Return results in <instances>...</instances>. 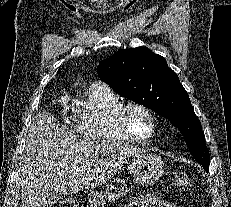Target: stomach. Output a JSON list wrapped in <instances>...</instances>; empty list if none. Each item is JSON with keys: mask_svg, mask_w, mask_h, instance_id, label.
<instances>
[{"mask_svg": "<svg viewBox=\"0 0 231 207\" xmlns=\"http://www.w3.org/2000/svg\"><path fill=\"white\" fill-rule=\"evenodd\" d=\"M129 169L136 182L142 185L154 184L164 173V162L158 154L139 150L129 161ZM128 193L125 180L116 178L110 181L104 192L92 191L88 195L90 207H105L107 202H115Z\"/></svg>", "mask_w": 231, "mask_h": 207, "instance_id": "0dacf381", "label": "stomach"}]
</instances>
